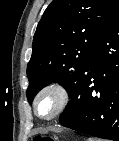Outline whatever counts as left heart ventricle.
Masks as SVG:
<instances>
[{"mask_svg": "<svg viewBox=\"0 0 119 141\" xmlns=\"http://www.w3.org/2000/svg\"><path fill=\"white\" fill-rule=\"evenodd\" d=\"M56 98L53 95H45L38 104V112L41 116L49 115L55 108Z\"/></svg>", "mask_w": 119, "mask_h": 141, "instance_id": "b2bd125f", "label": "left heart ventricle"}]
</instances>
